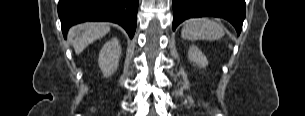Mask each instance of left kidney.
Segmentation results:
<instances>
[{
    "label": "left kidney",
    "mask_w": 305,
    "mask_h": 116,
    "mask_svg": "<svg viewBox=\"0 0 305 116\" xmlns=\"http://www.w3.org/2000/svg\"><path fill=\"white\" fill-rule=\"evenodd\" d=\"M188 58L191 62L200 68H205L208 65L206 56L200 51V49L194 45L190 46L188 50Z\"/></svg>",
    "instance_id": "left-kidney-1"
}]
</instances>
